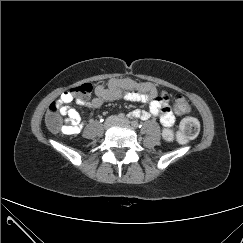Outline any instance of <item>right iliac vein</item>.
<instances>
[{"label":"right iliac vein","instance_id":"obj_1","mask_svg":"<svg viewBox=\"0 0 243 243\" xmlns=\"http://www.w3.org/2000/svg\"><path fill=\"white\" fill-rule=\"evenodd\" d=\"M117 117L116 116H110L109 118L106 119L105 123H104V128L108 129L111 126H113L116 122H117Z\"/></svg>","mask_w":243,"mask_h":243}]
</instances>
